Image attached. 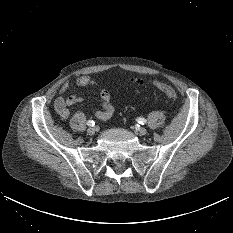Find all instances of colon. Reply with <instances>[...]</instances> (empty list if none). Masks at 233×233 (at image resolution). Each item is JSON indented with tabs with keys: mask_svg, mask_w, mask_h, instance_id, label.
Returning <instances> with one entry per match:
<instances>
[{
	"mask_svg": "<svg viewBox=\"0 0 233 233\" xmlns=\"http://www.w3.org/2000/svg\"><path fill=\"white\" fill-rule=\"evenodd\" d=\"M134 84H139V80H133ZM155 87L159 89L161 92H163L167 97L171 99H176L177 93L176 91L169 85L162 83V82H155L154 83Z\"/></svg>",
	"mask_w": 233,
	"mask_h": 233,
	"instance_id": "1",
	"label": "colon"
}]
</instances>
